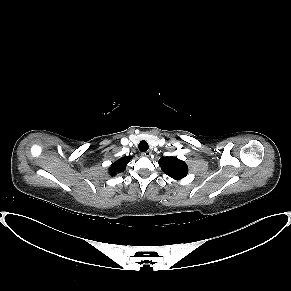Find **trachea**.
Returning a JSON list of instances; mask_svg holds the SVG:
<instances>
[{
  "instance_id": "3493384b",
  "label": "trachea",
  "mask_w": 291,
  "mask_h": 291,
  "mask_svg": "<svg viewBox=\"0 0 291 291\" xmlns=\"http://www.w3.org/2000/svg\"><path fill=\"white\" fill-rule=\"evenodd\" d=\"M138 148L141 152H146L149 148L148 143L145 140H142L139 145Z\"/></svg>"
}]
</instances>
